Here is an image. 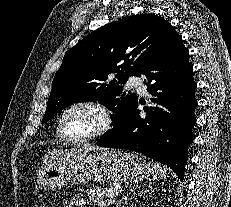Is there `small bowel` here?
I'll use <instances>...</instances> for the list:
<instances>
[{
    "label": "small bowel",
    "mask_w": 231,
    "mask_h": 207,
    "mask_svg": "<svg viewBox=\"0 0 231 207\" xmlns=\"http://www.w3.org/2000/svg\"><path fill=\"white\" fill-rule=\"evenodd\" d=\"M63 207H87L83 198L75 196L63 204Z\"/></svg>",
    "instance_id": "1"
}]
</instances>
